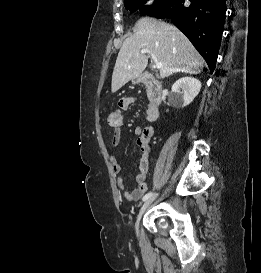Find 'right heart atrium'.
Returning <instances> with one entry per match:
<instances>
[{"label": "right heart atrium", "instance_id": "right-heart-atrium-1", "mask_svg": "<svg viewBox=\"0 0 261 273\" xmlns=\"http://www.w3.org/2000/svg\"><path fill=\"white\" fill-rule=\"evenodd\" d=\"M153 2H154V0H145V5L151 6V5H153Z\"/></svg>", "mask_w": 261, "mask_h": 273}]
</instances>
